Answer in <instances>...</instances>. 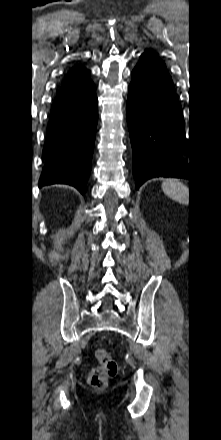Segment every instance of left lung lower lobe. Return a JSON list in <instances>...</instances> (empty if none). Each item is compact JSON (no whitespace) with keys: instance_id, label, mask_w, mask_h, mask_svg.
<instances>
[{"instance_id":"1","label":"left lung lower lobe","mask_w":221,"mask_h":440,"mask_svg":"<svg viewBox=\"0 0 221 440\" xmlns=\"http://www.w3.org/2000/svg\"><path fill=\"white\" fill-rule=\"evenodd\" d=\"M127 122L136 188L154 177L190 178L183 111L164 62L143 53L131 73Z\"/></svg>"}]
</instances>
